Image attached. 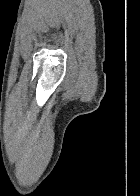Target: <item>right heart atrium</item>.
Segmentation results:
<instances>
[{
  "mask_svg": "<svg viewBox=\"0 0 140 196\" xmlns=\"http://www.w3.org/2000/svg\"><path fill=\"white\" fill-rule=\"evenodd\" d=\"M21 192H29V191H21Z\"/></svg>",
  "mask_w": 140,
  "mask_h": 196,
  "instance_id": "obj_1",
  "label": "right heart atrium"
}]
</instances>
